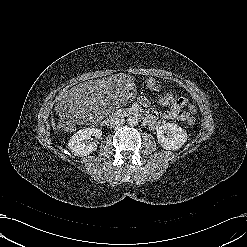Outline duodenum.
Here are the masks:
<instances>
[{"instance_id":"obj_1","label":"duodenum","mask_w":247,"mask_h":247,"mask_svg":"<svg viewBox=\"0 0 247 247\" xmlns=\"http://www.w3.org/2000/svg\"><path fill=\"white\" fill-rule=\"evenodd\" d=\"M139 112L137 109H130L127 111V114L130 115V116H134V115H137ZM121 116L120 113L118 114H115V115H112L110 116L109 118H107V120L105 122H110V121H113V120H117L119 119Z\"/></svg>"}]
</instances>
